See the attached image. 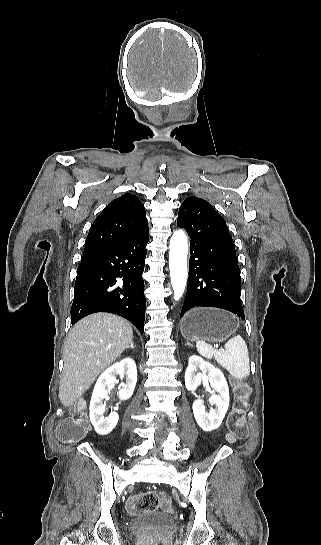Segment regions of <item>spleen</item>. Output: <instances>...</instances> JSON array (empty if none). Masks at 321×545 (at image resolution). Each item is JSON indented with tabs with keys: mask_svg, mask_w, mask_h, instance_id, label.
<instances>
[{
	"mask_svg": "<svg viewBox=\"0 0 321 545\" xmlns=\"http://www.w3.org/2000/svg\"><path fill=\"white\" fill-rule=\"evenodd\" d=\"M197 351L205 359H215L221 367H224L234 379H246L250 373V361L247 345L240 337L236 335L224 345V349H213L212 345H207L205 341H197Z\"/></svg>",
	"mask_w": 321,
	"mask_h": 545,
	"instance_id": "3e777b00",
	"label": "spleen"
}]
</instances>
